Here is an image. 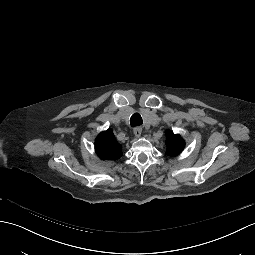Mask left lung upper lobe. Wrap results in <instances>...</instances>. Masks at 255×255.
I'll return each mask as SVG.
<instances>
[{"mask_svg": "<svg viewBox=\"0 0 255 255\" xmlns=\"http://www.w3.org/2000/svg\"><path fill=\"white\" fill-rule=\"evenodd\" d=\"M166 145V154L170 156H175L182 152L185 146V142L179 135L168 131Z\"/></svg>", "mask_w": 255, "mask_h": 255, "instance_id": "obj_1", "label": "left lung upper lobe"}]
</instances>
